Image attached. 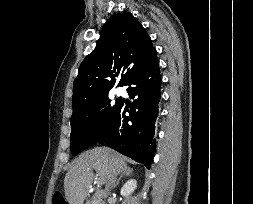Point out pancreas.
<instances>
[{"mask_svg":"<svg viewBox=\"0 0 253 204\" xmlns=\"http://www.w3.org/2000/svg\"><path fill=\"white\" fill-rule=\"evenodd\" d=\"M91 204H100L98 200H92Z\"/></svg>","mask_w":253,"mask_h":204,"instance_id":"obj_1","label":"pancreas"}]
</instances>
